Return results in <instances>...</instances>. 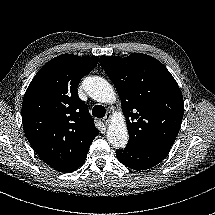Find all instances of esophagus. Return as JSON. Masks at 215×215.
I'll return each instance as SVG.
<instances>
[{
	"instance_id": "34e87169",
	"label": "esophagus",
	"mask_w": 215,
	"mask_h": 215,
	"mask_svg": "<svg viewBox=\"0 0 215 215\" xmlns=\"http://www.w3.org/2000/svg\"><path fill=\"white\" fill-rule=\"evenodd\" d=\"M110 120H111V112H107L106 116L102 119V121L105 125H108Z\"/></svg>"
}]
</instances>
